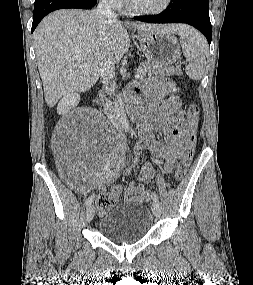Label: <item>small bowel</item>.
I'll return each mask as SVG.
<instances>
[{
    "instance_id": "1",
    "label": "small bowel",
    "mask_w": 253,
    "mask_h": 285,
    "mask_svg": "<svg viewBox=\"0 0 253 285\" xmlns=\"http://www.w3.org/2000/svg\"><path fill=\"white\" fill-rule=\"evenodd\" d=\"M138 89H132L130 96L137 98L142 105V115L139 121L140 142L134 147L135 157L131 167L123 171L128 177L132 168L138 162L140 153L147 149L157 159L156 166L145 163L138 176V182L131 180L124 193L126 201H147L144 183L154 181L158 175L170 173L180 158L187 143L189 123L184 119L181 110V98L176 95L173 82L156 76L150 79L141 89L142 98L138 96ZM152 130L159 132L164 142L157 140ZM60 156L66 155L65 142L58 148ZM117 175L114 174V177ZM121 185L113 186L109 192L117 199L122 193ZM149 200V199H148Z\"/></svg>"
}]
</instances>
